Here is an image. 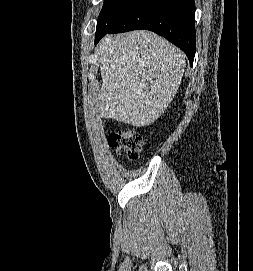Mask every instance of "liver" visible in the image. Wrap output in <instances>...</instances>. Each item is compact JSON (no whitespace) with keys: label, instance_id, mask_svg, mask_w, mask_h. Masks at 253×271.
Wrapping results in <instances>:
<instances>
[{"label":"liver","instance_id":"1","mask_svg":"<svg viewBox=\"0 0 253 271\" xmlns=\"http://www.w3.org/2000/svg\"><path fill=\"white\" fill-rule=\"evenodd\" d=\"M101 117L135 127L157 120L177 93L185 56L155 33L133 31L104 37L99 45Z\"/></svg>","mask_w":253,"mask_h":271}]
</instances>
